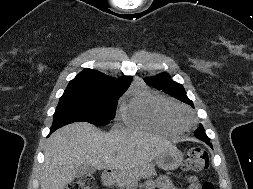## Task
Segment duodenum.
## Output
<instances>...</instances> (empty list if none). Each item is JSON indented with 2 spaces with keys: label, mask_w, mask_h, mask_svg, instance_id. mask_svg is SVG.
Here are the masks:
<instances>
[{
  "label": "duodenum",
  "mask_w": 253,
  "mask_h": 189,
  "mask_svg": "<svg viewBox=\"0 0 253 189\" xmlns=\"http://www.w3.org/2000/svg\"><path fill=\"white\" fill-rule=\"evenodd\" d=\"M102 182L105 186H111L114 182V172L113 170L107 169L103 171Z\"/></svg>",
  "instance_id": "duodenum-1"
}]
</instances>
